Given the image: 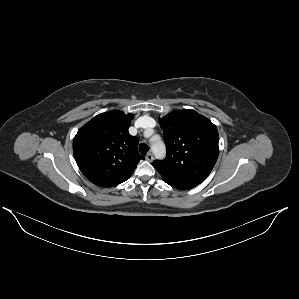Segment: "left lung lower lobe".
<instances>
[{
    "instance_id": "left-lung-lower-lobe-1",
    "label": "left lung lower lobe",
    "mask_w": 299,
    "mask_h": 299,
    "mask_svg": "<svg viewBox=\"0 0 299 299\" xmlns=\"http://www.w3.org/2000/svg\"><path fill=\"white\" fill-rule=\"evenodd\" d=\"M166 183L171 185L172 187H175L177 189H182V190H187L196 186L193 184H179V183H171V182H166Z\"/></svg>"
}]
</instances>
